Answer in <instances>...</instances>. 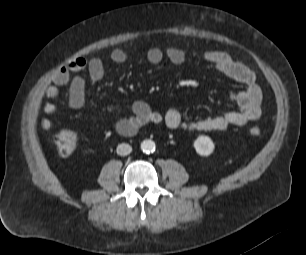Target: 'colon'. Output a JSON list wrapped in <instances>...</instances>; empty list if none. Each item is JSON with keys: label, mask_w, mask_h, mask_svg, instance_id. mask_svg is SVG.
Instances as JSON below:
<instances>
[{"label": "colon", "mask_w": 306, "mask_h": 255, "mask_svg": "<svg viewBox=\"0 0 306 255\" xmlns=\"http://www.w3.org/2000/svg\"><path fill=\"white\" fill-rule=\"evenodd\" d=\"M249 134L252 137H258L261 130L258 127H252ZM54 142L60 155L71 156L76 150L77 134L72 130H63L55 136Z\"/></svg>", "instance_id": "1"}]
</instances>
